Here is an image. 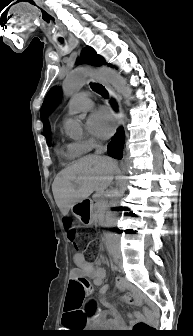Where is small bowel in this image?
Listing matches in <instances>:
<instances>
[{
  "mask_svg": "<svg viewBox=\"0 0 193 336\" xmlns=\"http://www.w3.org/2000/svg\"><path fill=\"white\" fill-rule=\"evenodd\" d=\"M74 267L70 271L69 287L66 298L65 312L62 318V324L65 327H71L76 322L85 323L87 321L86 311L84 309V289L81 284L85 285L92 281L95 286L101 287V295L104 305L111 314V318L107 319L103 316H98L94 322H103L105 324L118 325L120 322L117 314V307L105 300V294L108 287L103 285L106 277L104 268L99 266V262H89L81 253L73 255ZM115 285L119 290H128L124 295L122 302L130 304L134 302H143L144 298L139 291L129 285L126 280L121 277L115 278ZM154 309V305H150Z\"/></svg>",
  "mask_w": 193,
  "mask_h": 336,
  "instance_id": "1",
  "label": "small bowel"
}]
</instances>
